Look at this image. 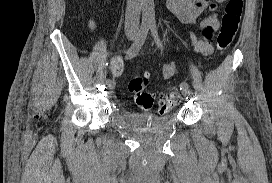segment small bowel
Wrapping results in <instances>:
<instances>
[{
  "instance_id": "1",
  "label": "small bowel",
  "mask_w": 272,
  "mask_h": 183,
  "mask_svg": "<svg viewBox=\"0 0 272 183\" xmlns=\"http://www.w3.org/2000/svg\"><path fill=\"white\" fill-rule=\"evenodd\" d=\"M226 0H168V7L171 12L184 24L191 27L195 26L197 19L205 10L210 11L200 24L201 31L198 38L194 32H191V46L193 50L201 56H209L213 53V46L210 39L217 36L219 27V17L217 15V6L225 3ZM111 71L115 76H119L123 71V64L120 59H114L111 63ZM162 77L169 79L177 73V67L172 63L162 66Z\"/></svg>"
}]
</instances>
